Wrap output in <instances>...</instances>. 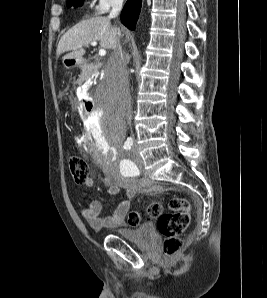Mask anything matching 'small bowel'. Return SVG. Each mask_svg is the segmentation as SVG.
I'll use <instances>...</instances> for the list:
<instances>
[{"mask_svg":"<svg viewBox=\"0 0 267 298\" xmlns=\"http://www.w3.org/2000/svg\"><path fill=\"white\" fill-rule=\"evenodd\" d=\"M104 182L108 186V195L115 196L122 189L125 190L127 199L120 202L111 215H102V204L98 200H92L88 206L81 209L82 218L95 231L102 229H114L122 227L125 223V217L130 209V200L136 193L139 184L133 180L123 178L120 175L106 174ZM94 184L92 178L85 184L86 188H91Z\"/></svg>","mask_w":267,"mask_h":298,"instance_id":"1","label":"small bowel"}]
</instances>
